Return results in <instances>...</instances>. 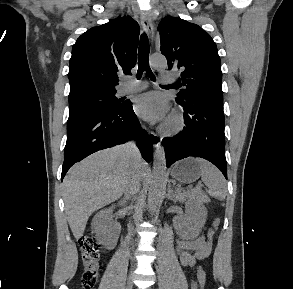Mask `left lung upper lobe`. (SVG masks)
Masks as SVG:
<instances>
[{"label":"left lung upper lobe","mask_w":293,"mask_h":289,"mask_svg":"<svg viewBox=\"0 0 293 289\" xmlns=\"http://www.w3.org/2000/svg\"><path fill=\"white\" fill-rule=\"evenodd\" d=\"M161 52L177 68L185 89L176 101L206 98L223 103L221 61L211 36L200 26L166 16L159 24Z\"/></svg>","instance_id":"obj_1"}]
</instances>
